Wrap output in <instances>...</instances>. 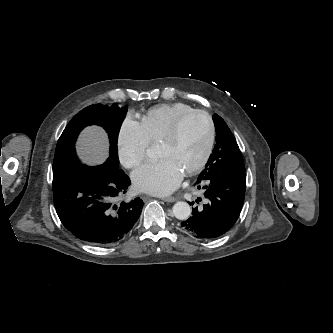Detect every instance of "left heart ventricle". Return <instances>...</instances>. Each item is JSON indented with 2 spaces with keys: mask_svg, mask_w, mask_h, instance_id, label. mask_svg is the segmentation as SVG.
Wrapping results in <instances>:
<instances>
[{
  "mask_svg": "<svg viewBox=\"0 0 333 333\" xmlns=\"http://www.w3.org/2000/svg\"><path fill=\"white\" fill-rule=\"evenodd\" d=\"M208 135L206 119L201 115H193L183 123L175 141L159 144V157L171 159L185 172L203 156Z\"/></svg>",
  "mask_w": 333,
  "mask_h": 333,
  "instance_id": "left-heart-ventricle-1",
  "label": "left heart ventricle"
}]
</instances>
